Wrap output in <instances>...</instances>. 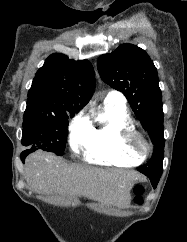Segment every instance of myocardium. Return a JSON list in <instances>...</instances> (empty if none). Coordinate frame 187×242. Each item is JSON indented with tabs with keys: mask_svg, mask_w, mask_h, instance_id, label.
Wrapping results in <instances>:
<instances>
[{
	"mask_svg": "<svg viewBox=\"0 0 187 242\" xmlns=\"http://www.w3.org/2000/svg\"><path fill=\"white\" fill-rule=\"evenodd\" d=\"M136 140H141L145 144L146 152H144V153L138 152V150L135 147ZM121 143H122L124 149L128 153L139 157L141 159V161L146 159L152 151V145L149 142V140L146 138V136L142 132H140L136 128H125L121 132Z\"/></svg>",
	"mask_w": 187,
	"mask_h": 242,
	"instance_id": "myocardium-1",
	"label": "myocardium"
}]
</instances>
